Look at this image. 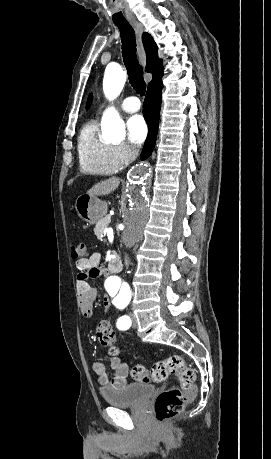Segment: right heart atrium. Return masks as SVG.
<instances>
[{
  "label": "right heart atrium",
  "mask_w": 271,
  "mask_h": 459,
  "mask_svg": "<svg viewBox=\"0 0 271 459\" xmlns=\"http://www.w3.org/2000/svg\"><path fill=\"white\" fill-rule=\"evenodd\" d=\"M138 150L128 143L114 144V154L122 164H128L137 156Z\"/></svg>",
  "instance_id": "right-heart-atrium-1"
}]
</instances>
